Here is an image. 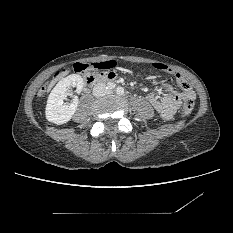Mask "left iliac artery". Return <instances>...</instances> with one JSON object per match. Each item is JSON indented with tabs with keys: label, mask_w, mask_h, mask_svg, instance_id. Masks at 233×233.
<instances>
[{
	"label": "left iliac artery",
	"mask_w": 233,
	"mask_h": 233,
	"mask_svg": "<svg viewBox=\"0 0 233 233\" xmlns=\"http://www.w3.org/2000/svg\"><path fill=\"white\" fill-rule=\"evenodd\" d=\"M116 92H117L118 95H124V93H125L123 87H118V88L116 89Z\"/></svg>",
	"instance_id": "44dca946"
}]
</instances>
